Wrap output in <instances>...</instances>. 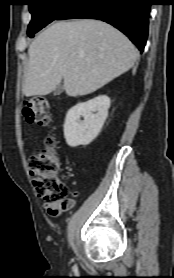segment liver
<instances>
[{"instance_id": "liver-1", "label": "liver", "mask_w": 174, "mask_h": 278, "mask_svg": "<svg viewBox=\"0 0 174 278\" xmlns=\"http://www.w3.org/2000/svg\"><path fill=\"white\" fill-rule=\"evenodd\" d=\"M28 54L26 97L47 95L62 79L68 96L90 94L127 72L138 56L123 33L94 19L52 24L31 43Z\"/></svg>"}]
</instances>
